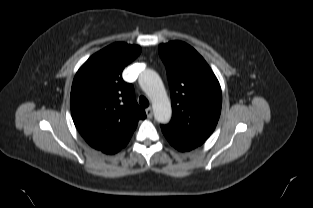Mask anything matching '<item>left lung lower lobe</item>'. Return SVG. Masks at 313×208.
Segmentation results:
<instances>
[{"mask_svg":"<svg viewBox=\"0 0 313 208\" xmlns=\"http://www.w3.org/2000/svg\"><path fill=\"white\" fill-rule=\"evenodd\" d=\"M167 140L170 142V144L172 146H174L176 149H178L179 151H190L194 148H196L197 146H194V145H191V144H188V143H184V142H181V141H178V140H174L170 137H167Z\"/></svg>","mask_w":313,"mask_h":208,"instance_id":"left-lung-lower-lobe-1","label":"left lung lower lobe"}]
</instances>
